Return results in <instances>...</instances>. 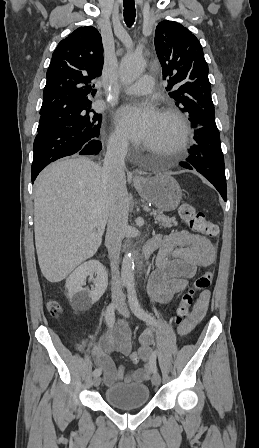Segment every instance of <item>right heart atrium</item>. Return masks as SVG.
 <instances>
[{
  "label": "right heart atrium",
  "mask_w": 259,
  "mask_h": 448,
  "mask_svg": "<svg viewBox=\"0 0 259 448\" xmlns=\"http://www.w3.org/2000/svg\"><path fill=\"white\" fill-rule=\"evenodd\" d=\"M109 145L116 151H126L130 144L128 139L119 130H114L111 133Z\"/></svg>",
  "instance_id": "1"
}]
</instances>
